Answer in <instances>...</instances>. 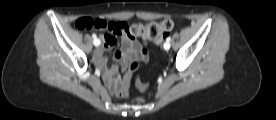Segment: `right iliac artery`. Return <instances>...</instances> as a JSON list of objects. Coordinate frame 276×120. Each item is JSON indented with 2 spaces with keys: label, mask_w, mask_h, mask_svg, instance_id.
<instances>
[{
  "label": "right iliac artery",
  "mask_w": 276,
  "mask_h": 120,
  "mask_svg": "<svg viewBox=\"0 0 276 120\" xmlns=\"http://www.w3.org/2000/svg\"><path fill=\"white\" fill-rule=\"evenodd\" d=\"M92 37L94 38V45H100V41L98 43H95V40L97 39L96 35L93 34Z\"/></svg>",
  "instance_id": "82829eb1"
}]
</instances>
